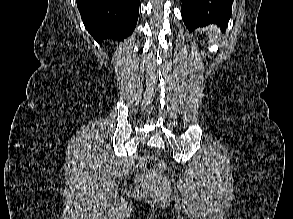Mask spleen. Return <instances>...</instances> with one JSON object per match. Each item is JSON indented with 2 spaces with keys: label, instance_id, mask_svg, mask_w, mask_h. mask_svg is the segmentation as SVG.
<instances>
[{
  "label": "spleen",
  "instance_id": "3e777b00",
  "mask_svg": "<svg viewBox=\"0 0 293 219\" xmlns=\"http://www.w3.org/2000/svg\"><path fill=\"white\" fill-rule=\"evenodd\" d=\"M206 34L208 35L211 42H215L216 37L218 36V29L214 25L209 26L206 29Z\"/></svg>",
  "mask_w": 293,
  "mask_h": 219
}]
</instances>
